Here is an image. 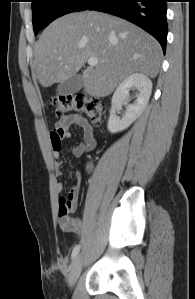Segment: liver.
<instances>
[{
  "label": "liver",
  "instance_id": "6515ba94",
  "mask_svg": "<svg viewBox=\"0 0 195 299\" xmlns=\"http://www.w3.org/2000/svg\"><path fill=\"white\" fill-rule=\"evenodd\" d=\"M90 57L98 64L83 71V87L100 98L134 73L156 77L162 49L154 37L119 17L97 11L71 13L53 21L35 43L32 77L50 87L74 76Z\"/></svg>",
  "mask_w": 195,
  "mask_h": 299
}]
</instances>
